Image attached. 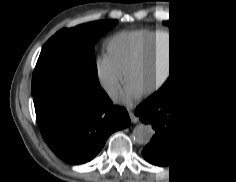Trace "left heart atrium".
<instances>
[{
	"instance_id": "39dd6f15",
	"label": "left heart atrium",
	"mask_w": 236,
	"mask_h": 182,
	"mask_svg": "<svg viewBox=\"0 0 236 182\" xmlns=\"http://www.w3.org/2000/svg\"><path fill=\"white\" fill-rule=\"evenodd\" d=\"M131 92V95H137V92L136 91H134L133 89H129L128 91H126L125 93H122L121 94V98H124V99H126L127 98V95L129 94Z\"/></svg>"
}]
</instances>
